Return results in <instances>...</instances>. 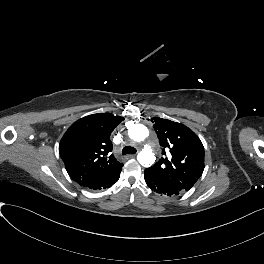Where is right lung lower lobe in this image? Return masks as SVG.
I'll return each mask as SVG.
<instances>
[{
    "instance_id": "1",
    "label": "right lung lower lobe",
    "mask_w": 264,
    "mask_h": 264,
    "mask_svg": "<svg viewBox=\"0 0 264 264\" xmlns=\"http://www.w3.org/2000/svg\"><path fill=\"white\" fill-rule=\"evenodd\" d=\"M122 167H120L118 170L113 172L111 175L107 176L106 178L102 179L101 181L86 187L90 190H101V189H106L111 187L113 184H115L119 177H120V172H121Z\"/></svg>"
}]
</instances>
